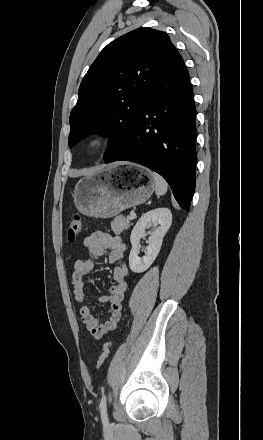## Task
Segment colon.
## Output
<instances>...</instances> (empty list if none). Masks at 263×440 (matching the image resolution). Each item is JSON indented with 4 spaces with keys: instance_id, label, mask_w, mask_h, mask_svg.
Returning a JSON list of instances; mask_svg holds the SVG:
<instances>
[{
    "instance_id": "colon-1",
    "label": "colon",
    "mask_w": 263,
    "mask_h": 440,
    "mask_svg": "<svg viewBox=\"0 0 263 440\" xmlns=\"http://www.w3.org/2000/svg\"><path fill=\"white\" fill-rule=\"evenodd\" d=\"M83 228V221L79 215H75L68 225L67 235L69 241H74L81 233ZM110 343L107 342L103 345L100 355L97 360L96 367L99 369L105 363L108 355H109Z\"/></svg>"
}]
</instances>
